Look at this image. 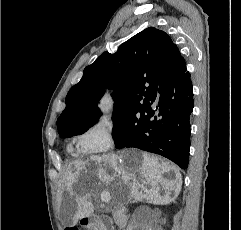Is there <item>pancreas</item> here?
<instances>
[{"label":"pancreas","instance_id":"1","mask_svg":"<svg viewBox=\"0 0 241 230\" xmlns=\"http://www.w3.org/2000/svg\"><path fill=\"white\" fill-rule=\"evenodd\" d=\"M95 230H107L103 223H97Z\"/></svg>","mask_w":241,"mask_h":230}]
</instances>
